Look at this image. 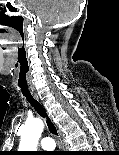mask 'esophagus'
<instances>
[{"instance_id":"obj_1","label":"esophagus","mask_w":119,"mask_h":155,"mask_svg":"<svg viewBox=\"0 0 119 155\" xmlns=\"http://www.w3.org/2000/svg\"><path fill=\"white\" fill-rule=\"evenodd\" d=\"M34 98L39 101L41 104L43 103L42 100H41V97L37 94V93H34L33 94Z\"/></svg>"}]
</instances>
